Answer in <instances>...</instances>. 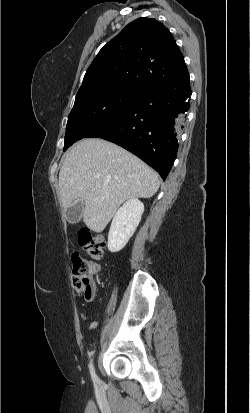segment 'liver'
Returning <instances> with one entry per match:
<instances>
[{
	"mask_svg": "<svg viewBox=\"0 0 250 413\" xmlns=\"http://www.w3.org/2000/svg\"><path fill=\"white\" fill-rule=\"evenodd\" d=\"M157 173L120 146L99 138L84 139L65 155L59 172L62 208L81 201L83 222L100 233L118 207L132 198H150L158 190Z\"/></svg>",
	"mask_w": 250,
	"mask_h": 413,
	"instance_id": "1",
	"label": "liver"
}]
</instances>
